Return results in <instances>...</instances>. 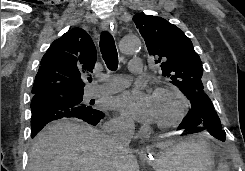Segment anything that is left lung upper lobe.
Wrapping results in <instances>:
<instances>
[{
    "mask_svg": "<svg viewBox=\"0 0 245 171\" xmlns=\"http://www.w3.org/2000/svg\"><path fill=\"white\" fill-rule=\"evenodd\" d=\"M133 21L149 54L156 57L155 63L160 66L162 75L187 98L204 92L202 62L184 32L166 19L144 13L134 15Z\"/></svg>",
    "mask_w": 245,
    "mask_h": 171,
    "instance_id": "obj_1",
    "label": "left lung upper lobe"
}]
</instances>
